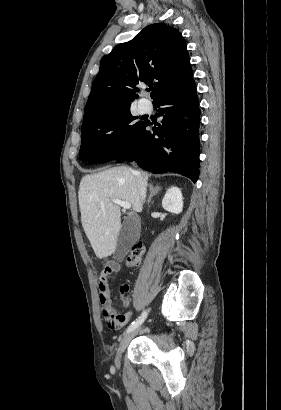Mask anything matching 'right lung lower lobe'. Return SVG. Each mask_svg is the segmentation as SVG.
<instances>
[{"label":"right lung lower lobe","instance_id":"1","mask_svg":"<svg viewBox=\"0 0 281 410\" xmlns=\"http://www.w3.org/2000/svg\"><path fill=\"white\" fill-rule=\"evenodd\" d=\"M153 105L159 108L162 125L150 131L146 121L116 161H134L153 173H179L195 183L199 176L200 109L194 80L160 96Z\"/></svg>","mask_w":281,"mask_h":410}]
</instances>
